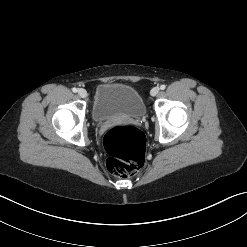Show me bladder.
Listing matches in <instances>:
<instances>
[{"label":"bladder","mask_w":247,"mask_h":247,"mask_svg":"<svg viewBox=\"0 0 247 247\" xmlns=\"http://www.w3.org/2000/svg\"><path fill=\"white\" fill-rule=\"evenodd\" d=\"M145 113V103L135 88L119 83H102L97 86L91 110L95 122L141 118Z\"/></svg>","instance_id":"1"}]
</instances>
